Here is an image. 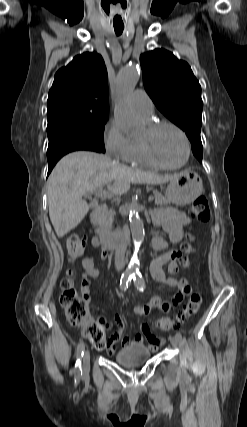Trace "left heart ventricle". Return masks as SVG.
<instances>
[{
    "instance_id": "1",
    "label": "left heart ventricle",
    "mask_w": 247,
    "mask_h": 427,
    "mask_svg": "<svg viewBox=\"0 0 247 427\" xmlns=\"http://www.w3.org/2000/svg\"><path fill=\"white\" fill-rule=\"evenodd\" d=\"M139 140H147L152 155L160 163L177 165L184 159L183 139L170 127H163L152 135H148L145 129Z\"/></svg>"
}]
</instances>
